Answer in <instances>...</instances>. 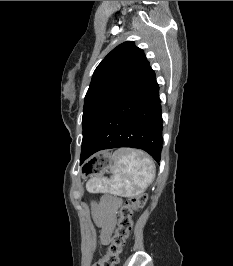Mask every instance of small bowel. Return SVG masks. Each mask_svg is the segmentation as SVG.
I'll list each match as a JSON object with an SVG mask.
<instances>
[{"label":"small bowel","instance_id":"small-bowel-1","mask_svg":"<svg viewBox=\"0 0 233 266\" xmlns=\"http://www.w3.org/2000/svg\"><path fill=\"white\" fill-rule=\"evenodd\" d=\"M120 200L104 196L94 207V220L100 230L101 242L107 244L116 224V212Z\"/></svg>","mask_w":233,"mask_h":266}]
</instances>
